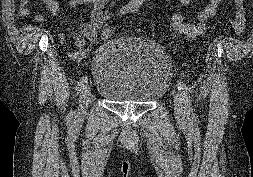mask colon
<instances>
[{"label": "colon", "mask_w": 253, "mask_h": 177, "mask_svg": "<svg viewBox=\"0 0 253 177\" xmlns=\"http://www.w3.org/2000/svg\"><path fill=\"white\" fill-rule=\"evenodd\" d=\"M236 11L231 22V31L235 35L243 33L247 24V12L244 0H234ZM116 4L111 2L104 10V21L101 29V39L104 42L110 41L115 33Z\"/></svg>", "instance_id": "1"}]
</instances>
